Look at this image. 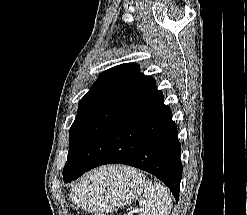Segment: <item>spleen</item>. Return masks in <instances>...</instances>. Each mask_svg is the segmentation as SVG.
Segmentation results:
<instances>
[{
    "label": "spleen",
    "instance_id": "3e777b00",
    "mask_svg": "<svg viewBox=\"0 0 247 215\" xmlns=\"http://www.w3.org/2000/svg\"><path fill=\"white\" fill-rule=\"evenodd\" d=\"M145 195L140 199L141 215H169L172 200L169 190L161 183L143 182Z\"/></svg>",
    "mask_w": 247,
    "mask_h": 215
}]
</instances>
